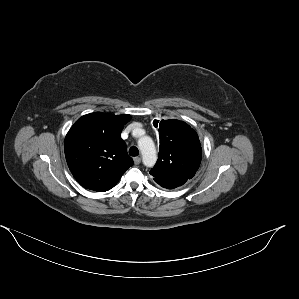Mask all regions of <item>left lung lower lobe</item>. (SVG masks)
Listing matches in <instances>:
<instances>
[{
    "label": "left lung lower lobe",
    "mask_w": 299,
    "mask_h": 299,
    "mask_svg": "<svg viewBox=\"0 0 299 299\" xmlns=\"http://www.w3.org/2000/svg\"><path fill=\"white\" fill-rule=\"evenodd\" d=\"M188 179L189 178L187 177H177V178H168V179L155 178L154 181L164 188L174 189L186 183Z\"/></svg>",
    "instance_id": "0a47b994"
}]
</instances>
